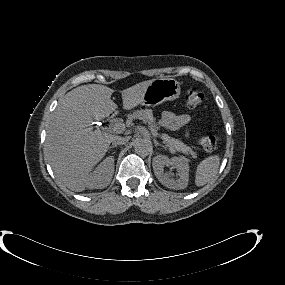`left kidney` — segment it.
Wrapping results in <instances>:
<instances>
[{"instance_id":"left-kidney-1","label":"left kidney","mask_w":285,"mask_h":285,"mask_svg":"<svg viewBox=\"0 0 285 285\" xmlns=\"http://www.w3.org/2000/svg\"><path fill=\"white\" fill-rule=\"evenodd\" d=\"M152 166L157 179L167 188L180 190L187 187L189 163L186 158L173 157L169 159L166 156L159 155L153 159ZM165 166H171V168L176 169L179 177L176 180L170 179V176L164 173Z\"/></svg>"}]
</instances>
